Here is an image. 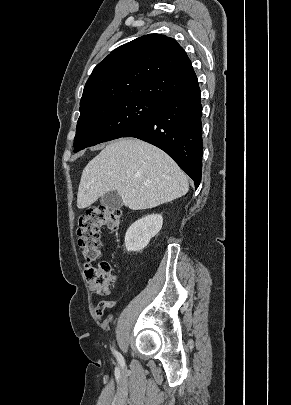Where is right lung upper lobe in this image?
Listing matches in <instances>:
<instances>
[{"label":"right lung upper lobe","mask_w":291,"mask_h":405,"mask_svg":"<svg viewBox=\"0 0 291 405\" xmlns=\"http://www.w3.org/2000/svg\"><path fill=\"white\" fill-rule=\"evenodd\" d=\"M196 82L184 49L170 37L148 34L113 50L94 68L85 84L80 109L135 97L162 101Z\"/></svg>","instance_id":"1"}]
</instances>
